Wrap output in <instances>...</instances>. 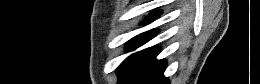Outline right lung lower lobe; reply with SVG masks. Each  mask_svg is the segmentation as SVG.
<instances>
[{"label": "right lung lower lobe", "mask_w": 260, "mask_h": 84, "mask_svg": "<svg viewBox=\"0 0 260 84\" xmlns=\"http://www.w3.org/2000/svg\"><path fill=\"white\" fill-rule=\"evenodd\" d=\"M165 68V60L156 61L132 84H168L167 78L163 76Z\"/></svg>", "instance_id": "98d812e1"}]
</instances>
